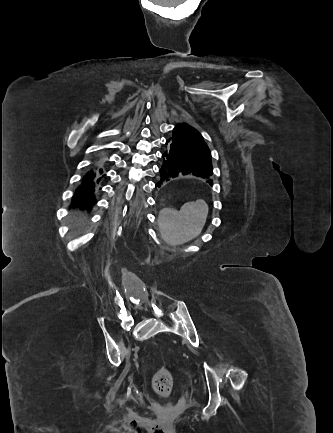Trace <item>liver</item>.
<instances>
[{"instance_id":"obj_1","label":"liver","mask_w":333,"mask_h":433,"mask_svg":"<svg viewBox=\"0 0 333 433\" xmlns=\"http://www.w3.org/2000/svg\"><path fill=\"white\" fill-rule=\"evenodd\" d=\"M74 214L75 215H78L79 217H81L83 214H81L80 212H74ZM84 225V222L81 220V219H78V220H75L74 221V224H73V227L74 228H79V227H81V226H83Z\"/></svg>"}]
</instances>
